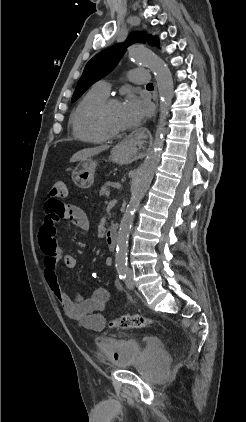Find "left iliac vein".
<instances>
[{"instance_id":"1","label":"left iliac vein","mask_w":246,"mask_h":422,"mask_svg":"<svg viewBox=\"0 0 246 422\" xmlns=\"http://www.w3.org/2000/svg\"><path fill=\"white\" fill-rule=\"evenodd\" d=\"M126 286L128 289H134L135 284L134 281L132 279V275L130 273H128L127 279H126Z\"/></svg>"}]
</instances>
